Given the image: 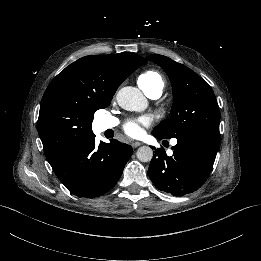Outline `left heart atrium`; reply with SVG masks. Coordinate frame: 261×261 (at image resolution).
<instances>
[{
  "label": "left heart atrium",
  "mask_w": 261,
  "mask_h": 261,
  "mask_svg": "<svg viewBox=\"0 0 261 261\" xmlns=\"http://www.w3.org/2000/svg\"><path fill=\"white\" fill-rule=\"evenodd\" d=\"M148 126L147 120H131L124 126V132L131 138H139L144 133V127Z\"/></svg>",
  "instance_id": "left-heart-atrium-1"
}]
</instances>
